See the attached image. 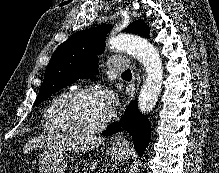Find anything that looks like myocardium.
I'll return each instance as SVG.
<instances>
[{"label":"myocardium","instance_id":"f54148a6","mask_svg":"<svg viewBox=\"0 0 219 173\" xmlns=\"http://www.w3.org/2000/svg\"><path fill=\"white\" fill-rule=\"evenodd\" d=\"M100 94V90L95 87V86H80L75 89L70 90L65 94V96L62 98L58 105V119L62 127L68 131L70 134L77 135V136H87V135H92L96 134L98 132H101L104 130L109 123L112 120L113 114L111 111L107 114V116L104 118V120L99 123L96 126L89 127V128H82L77 125H75L70 117H69V106L71 102L84 94Z\"/></svg>","mask_w":219,"mask_h":173}]
</instances>
